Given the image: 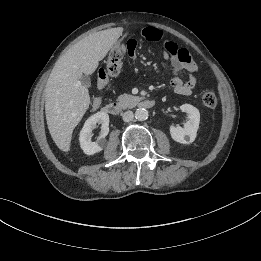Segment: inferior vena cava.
Masks as SVG:
<instances>
[{
  "label": "inferior vena cava",
  "instance_id": "inferior-vena-cava-1",
  "mask_svg": "<svg viewBox=\"0 0 261 261\" xmlns=\"http://www.w3.org/2000/svg\"><path fill=\"white\" fill-rule=\"evenodd\" d=\"M122 118H123V121L129 122V121L133 120L134 114L132 111L128 110V111H125L124 113H122Z\"/></svg>",
  "mask_w": 261,
  "mask_h": 261
}]
</instances>
